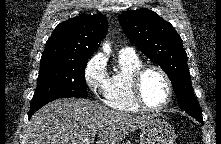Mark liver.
I'll return each instance as SVG.
<instances>
[{
    "mask_svg": "<svg viewBox=\"0 0 221 144\" xmlns=\"http://www.w3.org/2000/svg\"><path fill=\"white\" fill-rule=\"evenodd\" d=\"M152 116L113 111L88 99H58L31 117L27 144H86L98 133L96 144H119Z\"/></svg>",
    "mask_w": 221,
    "mask_h": 144,
    "instance_id": "obj_1",
    "label": "liver"
}]
</instances>
